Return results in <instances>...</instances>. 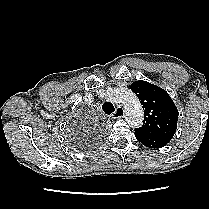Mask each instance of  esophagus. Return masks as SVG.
I'll use <instances>...</instances> for the list:
<instances>
[{"label": "esophagus", "instance_id": "1", "mask_svg": "<svg viewBox=\"0 0 209 209\" xmlns=\"http://www.w3.org/2000/svg\"><path fill=\"white\" fill-rule=\"evenodd\" d=\"M124 115H125V112H124L123 107L118 106V107L116 108L115 112L111 115V117H112L113 119H118V118L124 117Z\"/></svg>", "mask_w": 209, "mask_h": 209}]
</instances>
